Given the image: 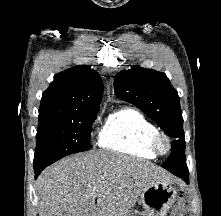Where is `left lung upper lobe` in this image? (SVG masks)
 Returning <instances> with one entry per match:
<instances>
[{
    "label": "left lung upper lobe",
    "mask_w": 221,
    "mask_h": 216,
    "mask_svg": "<svg viewBox=\"0 0 221 216\" xmlns=\"http://www.w3.org/2000/svg\"><path fill=\"white\" fill-rule=\"evenodd\" d=\"M114 90L120 99L130 102L173 137L171 154L162 167L172 172L177 168L175 155L185 154V137L180 99L164 73L135 66L119 72Z\"/></svg>",
    "instance_id": "obj_1"
}]
</instances>
